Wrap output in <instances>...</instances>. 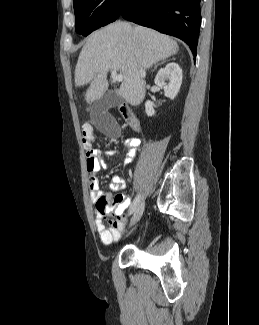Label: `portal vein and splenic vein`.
<instances>
[{"instance_id":"portal-vein-and-splenic-vein-1","label":"portal vein and splenic vein","mask_w":259,"mask_h":325,"mask_svg":"<svg viewBox=\"0 0 259 325\" xmlns=\"http://www.w3.org/2000/svg\"><path fill=\"white\" fill-rule=\"evenodd\" d=\"M111 77L114 81L121 82L124 79V76L122 74H118L116 70L111 71Z\"/></svg>"}]
</instances>
